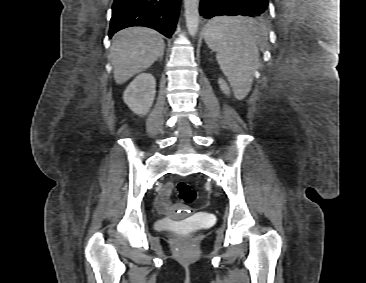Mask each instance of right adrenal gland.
Masks as SVG:
<instances>
[{
	"instance_id": "2a0ac1e0",
	"label": "right adrenal gland",
	"mask_w": 366,
	"mask_h": 283,
	"mask_svg": "<svg viewBox=\"0 0 366 283\" xmlns=\"http://www.w3.org/2000/svg\"><path fill=\"white\" fill-rule=\"evenodd\" d=\"M163 55H164V52H163V53H161V55L159 56V60H160V61H162V59H163Z\"/></svg>"
}]
</instances>
